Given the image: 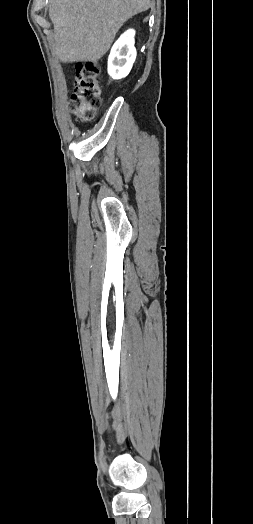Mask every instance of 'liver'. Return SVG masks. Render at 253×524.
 Returning <instances> with one entry per match:
<instances>
[{
  "label": "liver",
  "mask_w": 253,
  "mask_h": 524,
  "mask_svg": "<svg viewBox=\"0 0 253 524\" xmlns=\"http://www.w3.org/2000/svg\"><path fill=\"white\" fill-rule=\"evenodd\" d=\"M150 5V0H51L53 51L64 63L97 61L120 27Z\"/></svg>",
  "instance_id": "6515ba94"
}]
</instances>
